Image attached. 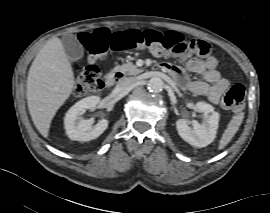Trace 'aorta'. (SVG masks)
Instances as JSON below:
<instances>
[{
	"instance_id": "obj_1",
	"label": "aorta",
	"mask_w": 270,
	"mask_h": 213,
	"mask_svg": "<svg viewBox=\"0 0 270 213\" xmlns=\"http://www.w3.org/2000/svg\"><path fill=\"white\" fill-rule=\"evenodd\" d=\"M148 89L151 92L154 93H159L162 91L163 87H164V82L161 78L159 77H152L149 81H148Z\"/></svg>"
}]
</instances>
